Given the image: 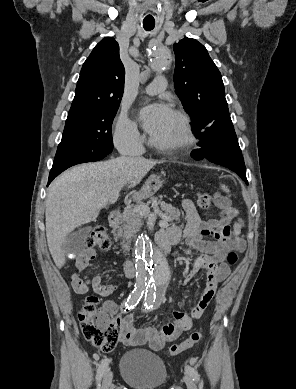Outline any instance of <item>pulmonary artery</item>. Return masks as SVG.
I'll use <instances>...</instances> for the list:
<instances>
[{
    "label": "pulmonary artery",
    "mask_w": 296,
    "mask_h": 389,
    "mask_svg": "<svg viewBox=\"0 0 296 389\" xmlns=\"http://www.w3.org/2000/svg\"><path fill=\"white\" fill-rule=\"evenodd\" d=\"M166 89V79L162 76L156 77L146 88L145 93L156 95Z\"/></svg>",
    "instance_id": "e3ab8cb5"
}]
</instances>
